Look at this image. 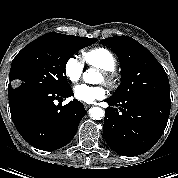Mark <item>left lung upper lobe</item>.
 Returning a JSON list of instances; mask_svg holds the SVG:
<instances>
[{"mask_svg": "<svg viewBox=\"0 0 178 178\" xmlns=\"http://www.w3.org/2000/svg\"><path fill=\"white\" fill-rule=\"evenodd\" d=\"M100 42L116 53L122 67L121 84L111 99L146 96L171 104L168 76L150 51L128 36L109 37Z\"/></svg>", "mask_w": 178, "mask_h": 178, "instance_id": "left-lung-upper-lobe-1", "label": "left lung upper lobe"}]
</instances>
